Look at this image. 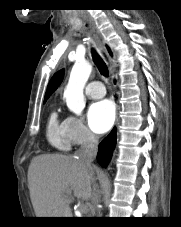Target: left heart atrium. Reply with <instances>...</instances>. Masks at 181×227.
<instances>
[{"label":"left heart atrium","instance_id":"obj_1","mask_svg":"<svg viewBox=\"0 0 181 227\" xmlns=\"http://www.w3.org/2000/svg\"><path fill=\"white\" fill-rule=\"evenodd\" d=\"M88 123L96 133L108 131L115 120V109L111 101L101 100L90 105L88 109Z\"/></svg>","mask_w":181,"mask_h":227}]
</instances>
